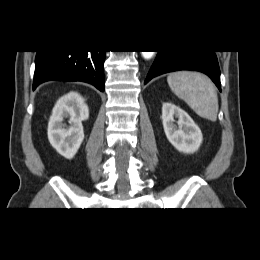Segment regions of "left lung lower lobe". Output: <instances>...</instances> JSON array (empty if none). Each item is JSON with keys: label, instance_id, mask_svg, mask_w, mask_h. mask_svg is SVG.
Returning a JSON list of instances; mask_svg holds the SVG:
<instances>
[{"label": "left lung lower lobe", "instance_id": "1", "mask_svg": "<svg viewBox=\"0 0 260 260\" xmlns=\"http://www.w3.org/2000/svg\"><path fill=\"white\" fill-rule=\"evenodd\" d=\"M178 70H195L208 75L221 91L220 70L214 51H159L144 84L152 78Z\"/></svg>", "mask_w": 260, "mask_h": 260}]
</instances>
